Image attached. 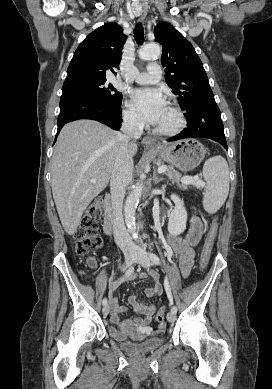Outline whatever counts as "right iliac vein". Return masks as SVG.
Returning a JSON list of instances; mask_svg holds the SVG:
<instances>
[{
	"label": "right iliac vein",
	"instance_id": "63e3f726",
	"mask_svg": "<svg viewBox=\"0 0 272 389\" xmlns=\"http://www.w3.org/2000/svg\"><path fill=\"white\" fill-rule=\"evenodd\" d=\"M134 259H135V254L134 253H132V252L126 253L125 254V262H124V265H123V270L129 268L132 265ZM109 311H110L109 305H107V304L104 305V307L102 309L103 314L105 316H107Z\"/></svg>",
	"mask_w": 272,
	"mask_h": 389
}]
</instances>
